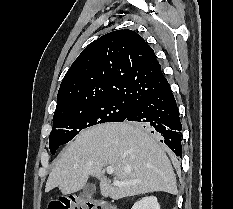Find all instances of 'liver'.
Here are the masks:
<instances>
[{
	"label": "liver",
	"instance_id": "liver-1",
	"mask_svg": "<svg viewBox=\"0 0 233 209\" xmlns=\"http://www.w3.org/2000/svg\"><path fill=\"white\" fill-rule=\"evenodd\" d=\"M114 168L115 186L103 168ZM89 176L100 180L103 197L119 200L151 192L178 193L176 177L163 148L134 123H107L88 128L61 153L46 182L45 192L58 187L68 195L86 186Z\"/></svg>",
	"mask_w": 233,
	"mask_h": 209
}]
</instances>
